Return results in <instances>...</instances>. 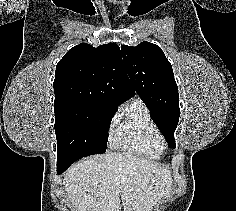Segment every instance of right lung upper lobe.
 I'll list each match as a JSON object with an SVG mask.
<instances>
[{
    "instance_id": "right-lung-upper-lobe-1",
    "label": "right lung upper lobe",
    "mask_w": 236,
    "mask_h": 211,
    "mask_svg": "<svg viewBox=\"0 0 236 211\" xmlns=\"http://www.w3.org/2000/svg\"><path fill=\"white\" fill-rule=\"evenodd\" d=\"M54 108L72 104L118 107L135 92L124 70L121 51L109 43H81L56 66Z\"/></svg>"
}]
</instances>
